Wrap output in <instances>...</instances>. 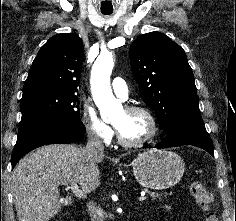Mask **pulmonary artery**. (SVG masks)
<instances>
[{
  "label": "pulmonary artery",
  "instance_id": "pulmonary-artery-1",
  "mask_svg": "<svg viewBox=\"0 0 236 221\" xmlns=\"http://www.w3.org/2000/svg\"><path fill=\"white\" fill-rule=\"evenodd\" d=\"M112 89L120 98L125 99L128 96L129 87L126 81L121 77H116L112 80Z\"/></svg>",
  "mask_w": 236,
  "mask_h": 221
}]
</instances>
